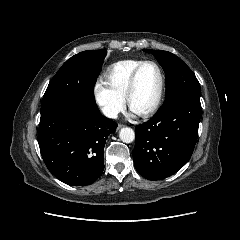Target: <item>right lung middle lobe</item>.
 <instances>
[{
	"label": "right lung middle lobe",
	"instance_id": "dd1d6c3e",
	"mask_svg": "<svg viewBox=\"0 0 240 240\" xmlns=\"http://www.w3.org/2000/svg\"><path fill=\"white\" fill-rule=\"evenodd\" d=\"M106 53V50H89L68 59L51 79L43 96L41 110L62 102L97 106L94 85Z\"/></svg>",
	"mask_w": 240,
	"mask_h": 240
}]
</instances>
